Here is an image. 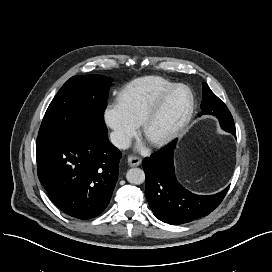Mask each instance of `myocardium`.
<instances>
[{"label":"myocardium","mask_w":272,"mask_h":272,"mask_svg":"<svg viewBox=\"0 0 272 272\" xmlns=\"http://www.w3.org/2000/svg\"><path fill=\"white\" fill-rule=\"evenodd\" d=\"M179 92L185 95V106L180 119L175 125H173L168 130L158 133L151 134V127L155 120L157 119L160 112L167 105V103ZM194 108V97L191 90L183 84L173 85L168 91H166L148 110L142 123L140 124L141 134L146 138V140L153 146L162 145L172 138H174L188 123L191 118Z\"/></svg>","instance_id":"f54148a6"}]
</instances>
